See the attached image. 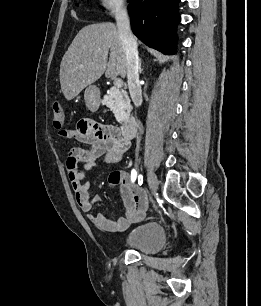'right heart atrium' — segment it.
Listing matches in <instances>:
<instances>
[{
	"label": "right heart atrium",
	"mask_w": 261,
	"mask_h": 306,
	"mask_svg": "<svg viewBox=\"0 0 261 306\" xmlns=\"http://www.w3.org/2000/svg\"><path fill=\"white\" fill-rule=\"evenodd\" d=\"M99 9L105 14H115L124 10L127 0H98Z\"/></svg>",
	"instance_id": "obj_1"
}]
</instances>
